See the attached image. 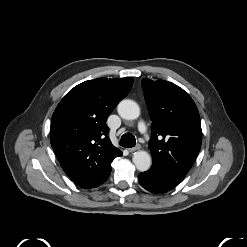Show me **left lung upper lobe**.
Wrapping results in <instances>:
<instances>
[{"instance_id": "5c2ea615", "label": "left lung upper lobe", "mask_w": 247, "mask_h": 247, "mask_svg": "<svg viewBox=\"0 0 247 247\" xmlns=\"http://www.w3.org/2000/svg\"><path fill=\"white\" fill-rule=\"evenodd\" d=\"M142 88L153 122L149 141L151 168L181 182L201 148L198 109L188 93L173 83L143 79Z\"/></svg>"}]
</instances>
